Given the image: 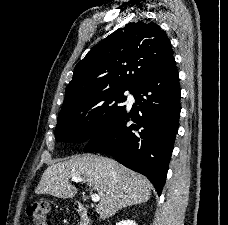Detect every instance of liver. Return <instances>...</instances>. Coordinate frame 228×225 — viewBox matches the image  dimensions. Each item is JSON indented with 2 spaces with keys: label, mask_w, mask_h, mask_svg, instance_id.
I'll list each match as a JSON object with an SVG mask.
<instances>
[{
  "label": "liver",
  "mask_w": 228,
  "mask_h": 225,
  "mask_svg": "<svg viewBox=\"0 0 228 225\" xmlns=\"http://www.w3.org/2000/svg\"><path fill=\"white\" fill-rule=\"evenodd\" d=\"M81 177L100 197L96 205L99 219H109L123 207L141 205L150 199L152 185L143 175L122 167L117 161L98 155H77L70 161L55 163L44 171L35 189L36 195H53L58 199H73L76 187L69 183Z\"/></svg>",
  "instance_id": "liver-1"
}]
</instances>
